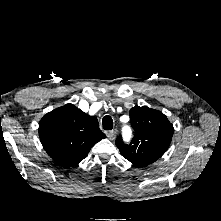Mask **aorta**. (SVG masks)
I'll return each instance as SVG.
<instances>
[{
  "label": "aorta",
  "instance_id": "aorta-1",
  "mask_svg": "<svg viewBox=\"0 0 221 221\" xmlns=\"http://www.w3.org/2000/svg\"><path fill=\"white\" fill-rule=\"evenodd\" d=\"M129 136H130V130H129V128H127V129L125 130V137H126V138H129Z\"/></svg>",
  "mask_w": 221,
  "mask_h": 221
}]
</instances>
